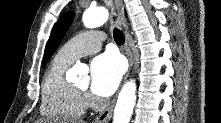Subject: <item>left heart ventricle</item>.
Listing matches in <instances>:
<instances>
[{
    "mask_svg": "<svg viewBox=\"0 0 221 123\" xmlns=\"http://www.w3.org/2000/svg\"><path fill=\"white\" fill-rule=\"evenodd\" d=\"M77 87L81 88V89H87L89 86V78L85 77L83 79H81L77 84Z\"/></svg>",
    "mask_w": 221,
    "mask_h": 123,
    "instance_id": "obj_1",
    "label": "left heart ventricle"
}]
</instances>
